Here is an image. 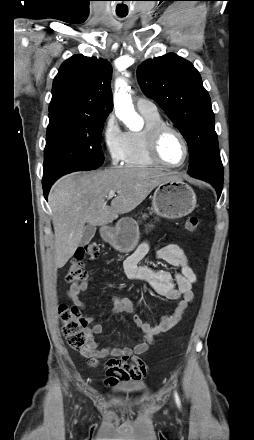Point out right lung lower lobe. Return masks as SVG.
<instances>
[{
	"label": "right lung lower lobe",
	"mask_w": 254,
	"mask_h": 440,
	"mask_svg": "<svg viewBox=\"0 0 254 440\" xmlns=\"http://www.w3.org/2000/svg\"><path fill=\"white\" fill-rule=\"evenodd\" d=\"M52 184H43V192H44V196L47 199V195H48V191L50 189Z\"/></svg>",
	"instance_id": "obj_1"
}]
</instances>
